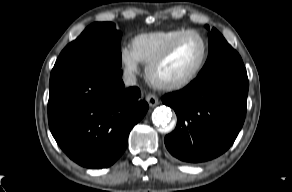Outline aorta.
I'll list each match as a JSON object with an SVG mask.
<instances>
[{"mask_svg": "<svg viewBox=\"0 0 292 192\" xmlns=\"http://www.w3.org/2000/svg\"><path fill=\"white\" fill-rule=\"evenodd\" d=\"M172 112L171 109L165 106L158 107L152 114L153 123L162 132H170L173 128L171 124Z\"/></svg>", "mask_w": 292, "mask_h": 192, "instance_id": "1", "label": "aorta"}]
</instances>
